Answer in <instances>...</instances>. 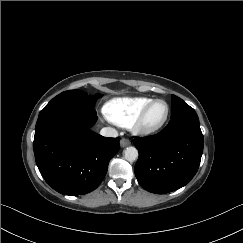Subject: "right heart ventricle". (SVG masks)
<instances>
[{"instance_id":"e07e8e85","label":"right heart ventricle","mask_w":243,"mask_h":243,"mask_svg":"<svg viewBox=\"0 0 243 243\" xmlns=\"http://www.w3.org/2000/svg\"><path fill=\"white\" fill-rule=\"evenodd\" d=\"M152 100L153 98L149 97L112 99L106 103L104 112L112 122L122 127H129L135 121L142 109Z\"/></svg>"}]
</instances>
